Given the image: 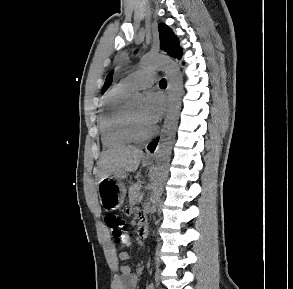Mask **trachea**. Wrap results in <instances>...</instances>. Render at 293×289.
Here are the masks:
<instances>
[{"label":"trachea","instance_id":"obj_1","mask_svg":"<svg viewBox=\"0 0 293 289\" xmlns=\"http://www.w3.org/2000/svg\"><path fill=\"white\" fill-rule=\"evenodd\" d=\"M159 85H160V86H167V82H166V80H165L164 78L161 79L160 82H159Z\"/></svg>","mask_w":293,"mask_h":289}]
</instances>
